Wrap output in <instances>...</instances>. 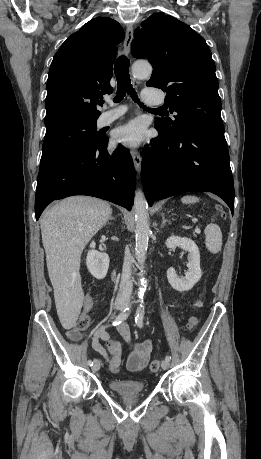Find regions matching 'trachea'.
Wrapping results in <instances>:
<instances>
[{
    "mask_svg": "<svg viewBox=\"0 0 261 459\" xmlns=\"http://www.w3.org/2000/svg\"><path fill=\"white\" fill-rule=\"evenodd\" d=\"M129 66H130V61L124 55L119 56V58L115 62L114 72L116 75L118 86H117V93H116V97L114 98V102L116 103L120 102L124 98L126 93H128L135 102H138V104L141 107H143V104L140 103L138 100V96H137L135 89L132 87L130 74H129ZM101 104H103V101H101ZM150 110H154V109H150ZM155 110H160V108L155 109Z\"/></svg>",
    "mask_w": 261,
    "mask_h": 459,
    "instance_id": "3493384b",
    "label": "trachea"
}]
</instances>
